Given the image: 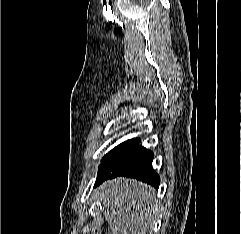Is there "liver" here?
Here are the masks:
<instances>
[{
	"label": "liver",
	"mask_w": 241,
	"mask_h": 234,
	"mask_svg": "<svg viewBox=\"0 0 241 234\" xmlns=\"http://www.w3.org/2000/svg\"><path fill=\"white\" fill-rule=\"evenodd\" d=\"M100 196L108 234H146L154 222L155 190L142 182L117 178L96 190Z\"/></svg>",
	"instance_id": "obj_1"
}]
</instances>
